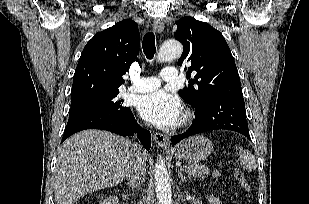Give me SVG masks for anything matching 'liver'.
Listing matches in <instances>:
<instances>
[{"label": "liver", "mask_w": 309, "mask_h": 204, "mask_svg": "<svg viewBox=\"0 0 309 204\" xmlns=\"http://www.w3.org/2000/svg\"><path fill=\"white\" fill-rule=\"evenodd\" d=\"M135 147L107 131L86 130L69 137L57 152L55 204H75L88 193L119 184Z\"/></svg>", "instance_id": "6515ba94"}]
</instances>
